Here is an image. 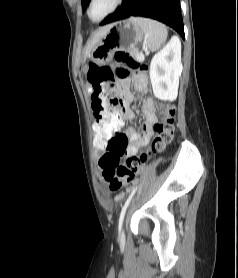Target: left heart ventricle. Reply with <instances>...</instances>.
<instances>
[{"instance_id": "obj_1", "label": "left heart ventricle", "mask_w": 238, "mask_h": 278, "mask_svg": "<svg viewBox=\"0 0 238 278\" xmlns=\"http://www.w3.org/2000/svg\"><path fill=\"white\" fill-rule=\"evenodd\" d=\"M115 0H95L90 9V16L97 20L103 17L113 6Z\"/></svg>"}]
</instances>
